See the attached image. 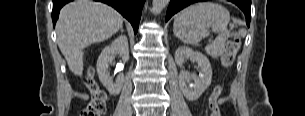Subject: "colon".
Instances as JSON below:
<instances>
[{
    "label": "colon",
    "instance_id": "obj_1",
    "mask_svg": "<svg viewBox=\"0 0 305 116\" xmlns=\"http://www.w3.org/2000/svg\"><path fill=\"white\" fill-rule=\"evenodd\" d=\"M239 47V36L236 32L228 35L226 48L221 56L223 67H230L236 57ZM85 85L91 94V101L86 108L80 113V116H102L107 111V95L97 83L93 71H90L85 79ZM222 93V87L216 86L209 96V108L211 116H221L219 107V97Z\"/></svg>",
    "mask_w": 305,
    "mask_h": 116
}]
</instances>
